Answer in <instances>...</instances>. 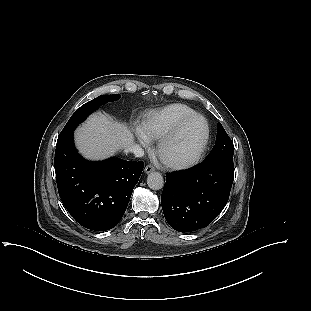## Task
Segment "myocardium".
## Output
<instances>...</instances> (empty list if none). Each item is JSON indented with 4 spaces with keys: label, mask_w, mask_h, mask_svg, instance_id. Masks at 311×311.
<instances>
[{
    "label": "myocardium",
    "mask_w": 311,
    "mask_h": 311,
    "mask_svg": "<svg viewBox=\"0 0 311 311\" xmlns=\"http://www.w3.org/2000/svg\"><path fill=\"white\" fill-rule=\"evenodd\" d=\"M195 119H200L202 120L204 124V135L202 138V141L195 151V153L187 158V159H182V160H173L170 158H167L164 155V150L166 146L173 140L175 139L178 134L183 130V128L190 123L191 121ZM210 138V127L207 119L199 114V113H194L192 115H189L185 118H183L178 124H176L170 131H168L166 134H164L158 141L157 148H156V153L159 158V160L162 162L163 165H165L167 168L174 169V170H181V169H187L195 164L198 163L202 155L204 154L208 142Z\"/></svg>",
    "instance_id": "obj_1"
}]
</instances>
